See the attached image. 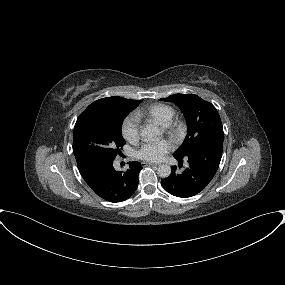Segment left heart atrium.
Instances as JSON below:
<instances>
[{
    "instance_id": "left-heart-atrium-1",
    "label": "left heart atrium",
    "mask_w": 285,
    "mask_h": 285,
    "mask_svg": "<svg viewBox=\"0 0 285 285\" xmlns=\"http://www.w3.org/2000/svg\"><path fill=\"white\" fill-rule=\"evenodd\" d=\"M173 149V144L166 139L144 143L137 152L140 159L157 162Z\"/></svg>"
}]
</instances>
